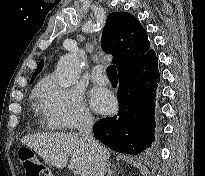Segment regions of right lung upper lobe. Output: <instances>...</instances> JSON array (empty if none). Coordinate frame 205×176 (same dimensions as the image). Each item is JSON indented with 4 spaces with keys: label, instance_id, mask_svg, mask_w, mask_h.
Instances as JSON below:
<instances>
[{
    "label": "right lung upper lobe",
    "instance_id": "1",
    "mask_svg": "<svg viewBox=\"0 0 205 176\" xmlns=\"http://www.w3.org/2000/svg\"><path fill=\"white\" fill-rule=\"evenodd\" d=\"M101 43L107 53L114 55L113 63L119 71L152 51L146 30L134 16L127 12L109 14ZM43 66L44 61L41 60L31 82Z\"/></svg>",
    "mask_w": 205,
    "mask_h": 176
}]
</instances>
